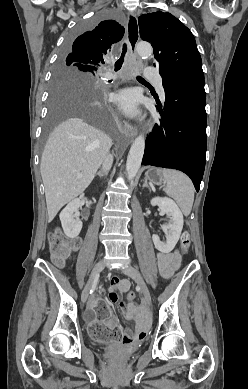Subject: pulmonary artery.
I'll use <instances>...</instances> for the list:
<instances>
[{
    "instance_id": "1",
    "label": "pulmonary artery",
    "mask_w": 248,
    "mask_h": 389,
    "mask_svg": "<svg viewBox=\"0 0 248 389\" xmlns=\"http://www.w3.org/2000/svg\"><path fill=\"white\" fill-rule=\"evenodd\" d=\"M105 77L107 79H114L115 78V76L113 74L109 73V72H107L105 74ZM146 77L149 80L153 81L157 85V88H158L160 96L162 98H164L165 92H164V88H163V85H162V83H163L162 77L160 75H158V74L151 73L150 68H147Z\"/></svg>"
}]
</instances>
